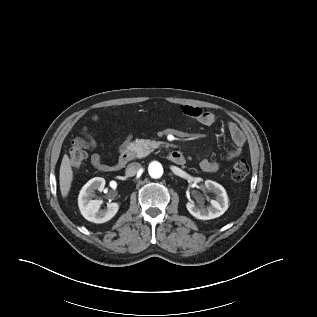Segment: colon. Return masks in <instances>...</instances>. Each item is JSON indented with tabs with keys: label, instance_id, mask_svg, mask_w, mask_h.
<instances>
[{
	"label": "colon",
	"instance_id": "colon-1",
	"mask_svg": "<svg viewBox=\"0 0 317 317\" xmlns=\"http://www.w3.org/2000/svg\"><path fill=\"white\" fill-rule=\"evenodd\" d=\"M98 117H95L97 120ZM88 146V138L77 137L71 142L69 149V161L73 168L80 167L86 159L87 153L86 148ZM249 173V166L243 159L236 161L231 166V177L235 181L244 180Z\"/></svg>",
	"mask_w": 317,
	"mask_h": 317
}]
</instances>
